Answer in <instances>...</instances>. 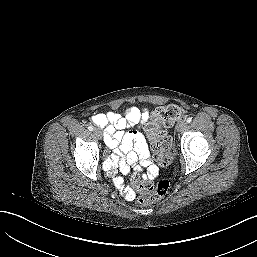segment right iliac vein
<instances>
[{
    "label": "right iliac vein",
    "instance_id": "obj_1",
    "mask_svg": "<svg viewBox=\"0 0 257 257\" xmlns=\"http://www.w3.org/2000/svg\"><path fill=\"white\" fill-rule=\"evenodd\" d=\"M93 133L96 137L102 138V132L99 129H94Z\"/></svg>",
    "mask_w": 257,
    "mask_h": 257
}]
</instances>
